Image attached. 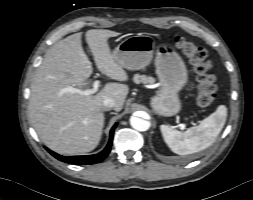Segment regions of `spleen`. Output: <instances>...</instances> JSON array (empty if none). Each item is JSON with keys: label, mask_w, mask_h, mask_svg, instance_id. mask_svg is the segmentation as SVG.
Here are the masks:
<instances>
[{"label": "spleen", "mask_w": 253, "mask_h": 200, "mask_svg": "<svg viewBox=\"0 0 253 200\" xmlns=\"http://www.w3.org/2000/svg\"><path fill=\"white\" fill-rule=\"evenodd\" d=\"M227 117V108L218 106L217 110L202 120L198 126L178 131L168 125H161L160 130L168 147L176 154L188 155L202 151L211 146L221 130Z\"/></svg>", "instance_id": "1"}]
</instances>
